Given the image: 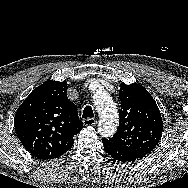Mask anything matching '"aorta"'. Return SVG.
<instances>
[{
    "instance_id": "762f6f07",
    "label": "aorta",
    "mask_w": 188,
    "mask_h": 188,
    "mask_svg": "<svg viewBox=\"0 0 188 188\" xmlns=\"http://www.w3.org/2000/svg\"><path fill=\"white\" fill-rule=\"evenodd\" d=\"M93 100L99 114V132L104 137H111L116 132L118 124L116 105L105 91L95 92Z\"/></svg>"
}]
</instances>
